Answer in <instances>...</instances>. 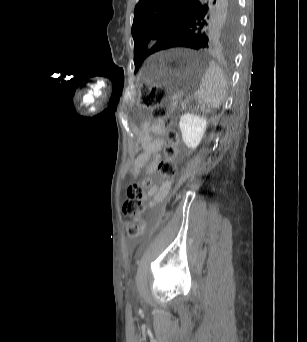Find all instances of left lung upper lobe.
Returning a JSON list of instances; mask_svg holds the SVG:
<instances>
[{
    "label": "left lung upper lobe",
    "mask_w": 307,
    "mask_h": 342,
    "mask_svg": "<svg viewBox=\"0 0 307 342\" xmlns=\"http://www.w3.org/2000/svg\"><path fill=\"white\" fill-rule=\"evenodd\" d=\"M236 0H140L134 10L135 72L158 50L191 48L231 54L236 46ZM151 39H159L147 50Z\"/></svg>",
    "instance_id": "5c2ea615"
}]
</instances>
